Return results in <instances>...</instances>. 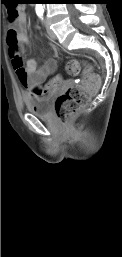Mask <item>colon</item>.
<instances>
[{
    "instance_id": "1",
    "label": "colon",
    "mask_w": 122,
    "mask_h": 257,
    "mask_svg": "<svg viewBox=\"0 0 122 257\" xmlns=\"http://www.w3.org/2000/svg\"><path fill=\"white\" fill-rule=\"evenodd\" d=\"M4 10H11L9 16L11 20L18 17L19 5H4ZM65 72L71 76L83 75L80 85H76L67 89L59 95L55 101V113L57 118L63 125H67L71 119L84 108L100 86V78L90 71V67L86 66L83 70V64L79 60H70L66 64ZM66 75L62 70H57L56 74L49 77L48 82H44L47 89H30L29 93L32 98H43L44 94H48L49 90H63V80ZM31 88H42V83H31Z\"/></svg>"
}]
</instances>
